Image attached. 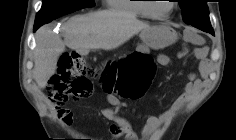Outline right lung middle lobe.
Wrapping results in <instances>:
<instances>
[{"mask_svg":"<svg viewBox=\"0 0 236 140\" xmlns=\"http://www.w3.org/2000/svg\"><path fill=\"white\" fill-rule=\"evenodd\" d=\"M94 5V0H43L34 26H41L63 15Z\"/></svg>","mask_w":236,"mask_h":140,"instance_id":"right-lung-middle-lobe-1","label":"right lung middle lobe"}]
</instances>
